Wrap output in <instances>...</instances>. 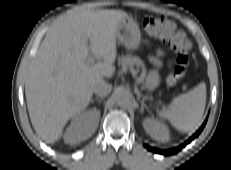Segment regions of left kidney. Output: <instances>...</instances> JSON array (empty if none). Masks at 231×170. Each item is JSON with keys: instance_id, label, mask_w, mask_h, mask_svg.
<instances>
[{"instance_id": "1", "label": "left kidney", "mask_w": 231, "mask_h": 170, "mask_svg": "<svg viewBox=\"0 0 231 170\" xmlns=\"http://www.w3.org/2000/svg\"><path fill=\"white\" fill-rule=\"evenodd\" d=\"M143 127L157 141L166 142L170 138L169 128L156 119L146 118L143 122Z\"/></svg>"}]
</instances>
